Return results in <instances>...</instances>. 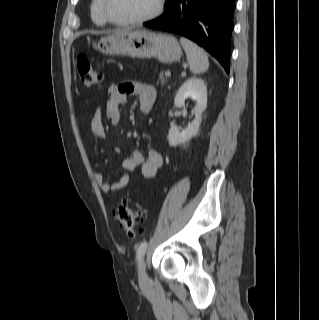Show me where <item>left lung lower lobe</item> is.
I'll use <instances>...</instances> for the list:
<instances>
[{
	"mask_svg": "<svg viewBox=\"0 0 319 320\" xmlns=\"http://www.w3.org/2000/svg\"><path fill=\"white\" fill-rule=\"evenodd\" d=\"M234 9L235 0H167L165 13L144 26L193 40L229 73Z\"/></svg>",
	"mask_w": 319,
	"mask_h": 320,
	"instance_id": "left-lung-lower-lobe-1",
	"label": "left lung lower lobe"
}]
</instances>
